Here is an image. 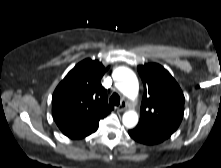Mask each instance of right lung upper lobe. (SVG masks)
I'll use <instances>...</instances> for the list:
<instances>
[{"instance_id":"1","label":"right lung upper lobe","mask_w":221,"mask_h":168,"mask_svg":"<svg viewBox=\"0 0 221 168\" xmlns=\"http://www.w3.org/2000/svg\"><path fill=\"white\" fill-rule=\"evenodd\" d=\"M106 69L97 60L78 63L59 83L52 97L53 118L64 135L83 138L95 132L99 120L106 117L112 105L108 104L101 78Z\"/></svg>"}]
</instances>
